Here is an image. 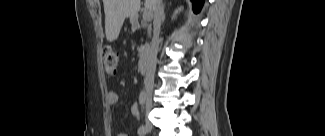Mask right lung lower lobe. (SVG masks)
<instances>
[{
	"label": "right lung lower lobe",
	"instance_id": "right-lung-lower-lobe-1",
	"mask_svg": "<svg viewBox=\"0 0 325 136\" xmlns=\"http://www.w3.org/2000/svg\"><path fill=\"white\" fill-rule=\"evenodd\" d=\"M193 3V7L195 12H199L203 6L204 0H191Z\"/></svg>",
	"mask_w": 325,
	"mask_h": 136
}]
</instances>
